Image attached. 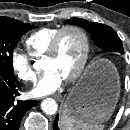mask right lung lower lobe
Here are the masks:
<instances>
[{"label":"right lung lower lobe","mask_w":130,"mask_h":130,"mask_svg":"<svg viewBox=\"0 0 130 130\" xmlns=\"http://www.w3.org/2000/svg\"><path fill=\"white\" fill-rule=\"evenodd\" d=\"M20 91L16 78L0 72V130H19L26 111L37 104L36 100H16Z\"/></svg>","instance_id":"right-lung-lower-lobe-1"}]
</instances>
